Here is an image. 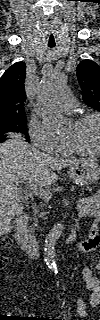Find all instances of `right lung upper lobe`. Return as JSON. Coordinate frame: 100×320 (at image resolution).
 <instances>
[{"label":"right lung upper lobe","mask_w":100,"mask_h":320,"mask_svg":"<svg viewBox=\"0 0 100 320\" xmlns=\"http://www.w3.org/2000/svg\"><path fill=\"white\" fill-rule=\"evenodd\" d=\"M25 70V63L17 62L0 78V120L26 116L23 107Z\"/></svg>","instance_id":"1"}]
</instances>
